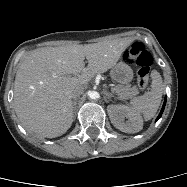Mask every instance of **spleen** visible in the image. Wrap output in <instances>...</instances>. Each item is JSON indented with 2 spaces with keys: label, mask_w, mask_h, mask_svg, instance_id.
<instances>
[{
  "label": "spleen",
  "mask_w": 187,
  "mask_h": 187,
  "mask_svg": "<svg viewBox=\"0 0 187 187\" xmlns=\"http://www.w3.org/2000/svg\"><path fill=\"white\" fill-rule=\"evenodd\" d=\"M151 75V90L143 96L134 98L130 103L131 108L138 113H142L145 120H150L155 116L163 95V83L160 74L153 71Z\"/></svg>",
  "instance_id": "spleen-1"
}]
</instances>
